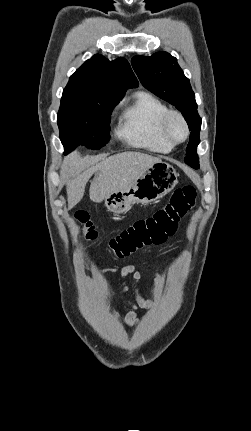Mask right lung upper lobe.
I'll return each mask as SVG.
<instances>
[{
	"instance_id": "cb5924a9",
	"label": "right lung upper lobe",
	"mask_w": 251,
	"mask_h": 431,
	"mask_svg": "<svg viewBox=\"0 0 251 431\" xmlns=\"http://www.w3.org/2000/svg\"><path fill=\"white\" fill-rule=\"evenodd\" d=\"M138 85L127 60L122 57L109 61L96 54L76 70L66 88L99 92L123 98L125 91Z\"/></svg>"
}]
</instances>
